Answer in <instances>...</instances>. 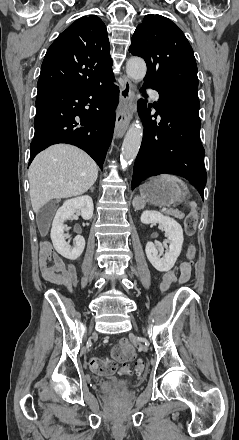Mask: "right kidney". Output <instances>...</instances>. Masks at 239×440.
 Returning <instances> with one entry per match:
<instances>
[{
	"mask_svg": "<svg viewBox=\"0 0 239 440\" xmlns=\"http://www.w3.org/2000/svg\"><path fill=\"white\" fill-rule=\"evenodd\" d=\"M93 210V200L90 196H79V198L66 200L63 206L57 210L52 222L50 236L56 252L60 253L61 257H72V260H77L85 248L83 236H76L74 238L75 244H70L69 240L65 239L67 236H64V232L67 226L64 222L71 220L75 212H80L83 220H91Z\"/></svg>",
	"mask_w": 239,
	"mask_h": 440,
	"instance_id": "1",
	"label": "right kidney"
}]
</instances>
